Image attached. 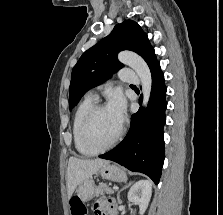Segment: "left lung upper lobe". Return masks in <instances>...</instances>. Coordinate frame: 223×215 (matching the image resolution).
<instances>
[{
  "label": "left lung upper lobe",
  "mask_w": 223,
  "mask_h": 215,
  "mask_svg": "<svg viewBox=\"0 0 223 215\" xmlns=\"http://www.w3.org/2000/svg\"><path fill=\"white\" fill-rule=\"evenodd\" d=\"M139 54L151 69L158 61L147 35L134 21L117 24L110 35L87 50L74 66L69 88V109L79 102L86 91L107 79L123 67L117 59L121 50Z\"/></svg>",
  "instance_id": "obj_1"
}]
</instances>
